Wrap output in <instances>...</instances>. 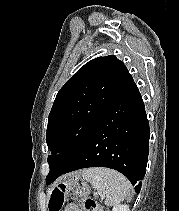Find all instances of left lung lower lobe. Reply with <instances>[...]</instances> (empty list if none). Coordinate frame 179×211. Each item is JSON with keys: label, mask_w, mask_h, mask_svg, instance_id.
<instances>
[{"label": "left lung lower lobe", "mask_w": 179, "mask_h": 211, "mask_svg": "<svg viewBox=\"0 0 179 211\" xmlns=\"http://www.w3.org/2000/svg\"><path fill=\"white\" fill-rule=\"evenodd\" d=\"M149 149V123L144 103L132 76L108 105L94 126L89 139L72 164L58 176L88 167H108L125 175L141 190Z\"/></svg>", "instance_id": "0a47b994"}]
</instances>
